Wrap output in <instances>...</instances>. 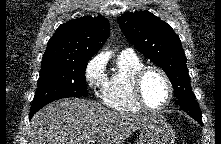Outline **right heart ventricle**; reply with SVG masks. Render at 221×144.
I'll list each match as a JSON object with an SVG mask.
<instances>
[{"label": "right heart ventricle", "mask_w": 221, "mask_h": 144, "mask_svg": "<svg viewBox=\"0 0 221 144\" xmlns=\"http://www.w3.org/2000/svg\"><path fill=\"white\" fill-rule=\"evenodd\" d=\"M144 66L136 56L121 53L116 61V67L108 79L105 104L118 111L137 113L142 109L136 103L132 91L134 73Z\"/></svg>", "instance_id": "right-heart-ventricle-1"}]
</instances>
